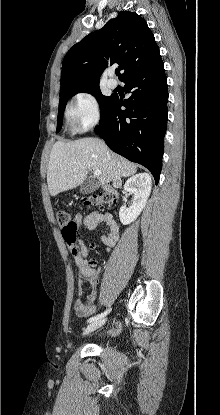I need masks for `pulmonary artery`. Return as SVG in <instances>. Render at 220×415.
<instances>
[{"instance_id":"e3ab8cb5","label":"pulmonary artery","mask_w":220,"mask_h":415,"mask_svg":"<svg viewBox=\"0 0 220 415\" xmlns=\"http://www.w3.org/2000/svg\"><path fill=\"white\" fill-rule=\"evenodd\" d=\"M112 76V73H111ZM118 85L117 80H115L113 77H110L108 80V86L112 89L116 88Z\"/></svg>"}]
</instances>
